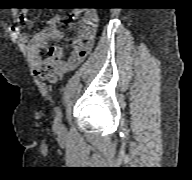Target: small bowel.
Returning <instances> with one entry per match:
<instances>
[{
  "label": "small bowel",
  "instance_id": "1",
  "mask_svg": "<svg viewBox=\"0 0 192 180\" xmlns=\"http://www.w3.org/2000/svg\"><path fill=\"white\" fill-rule=\"evenodd\" d=\"M72 18L81 16L76 28V36L71 42V51L67 57L63 56L60 46L52 47L44 62L38 69V74L50 82L57 81L60 76L79 65L92 50L97 30V15L90 10L80 9L71 13ZM21 20L29 22L27 12L22 11ZM62 17L53 16L48 25L36 33L30 41V49L33 53L40 52L49 41H62L64 34L58 29Z\"/></svg>",
  "mask_w": 192,
  "mask_h": 180
}]
</instances>
